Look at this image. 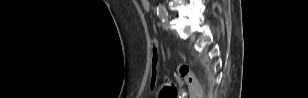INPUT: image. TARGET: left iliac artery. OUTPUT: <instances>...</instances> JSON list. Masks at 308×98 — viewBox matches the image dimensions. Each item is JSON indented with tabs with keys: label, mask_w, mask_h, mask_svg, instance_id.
Here are the masks:
<instances>
[{
	"label": "left iliac artery",
	"mask_w": 308,
	"mask_h": 98,
	"mask_svg": "<svg viewBox=\"0 0 308 98\" xmlns=\"http://www.w3.org/2000/svg\"><path fill=\"white\" fill-rule=\"evenodd\" d=\"M157 15L164 22L167 20L168 12L164 5L159 4L157 7Z\"/></svg>",
	"instance_id": "left-iliac-artery-1"
}]
</instances>
